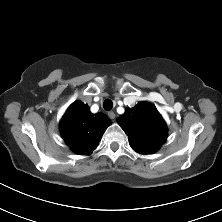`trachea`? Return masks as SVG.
Instances as JSON below:
<instances>
[{
    "label": "trachea",
    "mask_w": 222,
    "mask_h": 222,
    "mask_svg": "<svg viewBox=\"0 0 222 222\" xmlns=\"http://www.w3.org/2000/svg\"><path fill=\"white\" fill-rule=\"evenodd\" d=\"M103 107L106 111H110L113 107V102L110 100V99H106L104 102H103Z\"/></svg>",
    "instance_id": "trachea-1"
}]
</instances>
